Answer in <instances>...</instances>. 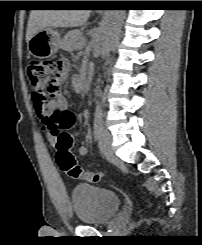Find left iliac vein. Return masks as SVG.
<instances>
[{
	"mask_svg": "<svg viewBox=\"0 0 202 245\" xmlns=\"http://www.w3.org/2000/svg\"><path fill=\"white\" fill-rule=\"evenodd\" d=\"M97 140L101 154L108 160L113 159L114 150L112 147V138L108 130L102 127L97 135Z\"/></svg>",
	"mask_w": 202,
	"mask_h": 245,
	"instance_id": "1",
	"label": "left iliac vein"
}]
</instances>
